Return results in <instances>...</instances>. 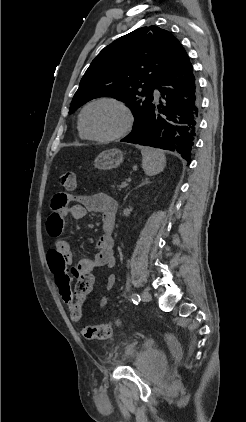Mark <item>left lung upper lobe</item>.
Segmentation results:
<instances>
[{
	"label": "left lung upper lobe",
	"instance_id": "left-lung-upper-lobe-1",
	"mask_svg": "<svg viewBox=\"0 0 246 422\" xmlns=\"http://www.w3.org/2000/svg\"><path fill=\"white\" fill-rule=\"evenodd\" d=\"M183 49L179 40L157 26L142 27L106 46L81 79L69 113L98 97H113L129 105L140 121L153 91Z\"/></svg>",
	"mask_w": 246,
	"mask_h": 422
}]
</instances>
